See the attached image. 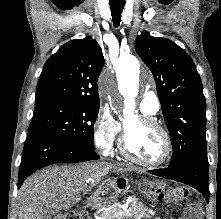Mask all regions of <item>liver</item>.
Here are the masks:
<instances>
[{"label":"liver","instance_id":"liver-1","mask_svg":"<svg viewBox=\"0 0 221 219\" xmlns=\"http://www.w3.org/2000/svg\"><path fill=\"white\" fill-rule=\"evenodd\" d=\"M113 165L83 163L53 166L31 175L18 193V219H43L48 210H66L81 200V192L99 184Z\"/></svg>","mask_w":221,"mask_h":219}]
</instances>
